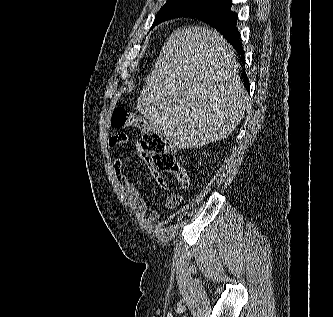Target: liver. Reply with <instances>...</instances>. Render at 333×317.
<instances>
[{"label": "liver", "instance_id": "liver-1", "mask_svg": "<svg viewBox=\"0 0 333 317\" xmlns=\"http://www.w3.org/2000/svg\"><path fill=\"white\" fill-rule=\"evenodd\" d=\"M231 45L219 32L184 27L166 40L137 110L171 146L198 148L228 136L248 107Z\"/></svg>", "mask_w": 333, "mask_h": 317}]
</instances>
